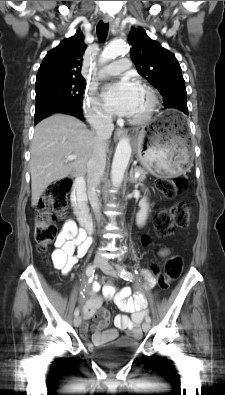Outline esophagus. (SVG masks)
<instances>
[{
  "mask_svg": "<svg viewBox=\"0 0 225 395\" xmlns=\"http://www.w3.org/2000/svg\"><path fill=\"white\" fill-rule=\"evenodd\" d=\"M103 21L104 23H112V18L109 15H106L103 17ZM127 134V131L125 129H116L115 133H114V138L118 139L121 138L123 136H125Z\"/></svg>",
  "mask_w": 225,
  "mask_h": 395,
  "instance_id": "obj_1",
  "label": "esophagus"
}]
</instances>
